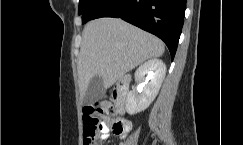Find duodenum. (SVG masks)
I'll return each instance as SVG.
<instances>
[{
    "mask_svg": "<svg viewBox=\"0 0 243 145\" xmlns=\"http://www.w3.org/2000/svg\"><path fill=\"white\" fill-rule=\"evenodd\" d=\"M129 87V76H123L115 85L113 90V99L115 106L119 113L123 112L124 101L128 92Z\"/></svg>",
    "mask_w": 243,
    "mask_h": 145,
    "instance_id": "410a0bca",
    "label": "duodenum"
}]
</instances>
